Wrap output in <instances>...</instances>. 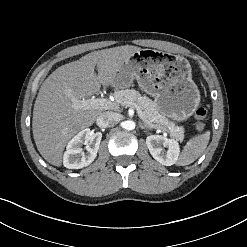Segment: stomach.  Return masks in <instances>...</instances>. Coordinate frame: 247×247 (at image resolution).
<instances>
[{
    "label": "stomach",
    "mask_w": 247,
    "mask_h": 247,
    "mask_svg": "<svg viewBox=\"0 0 247 247\" xmlns=\"http://www.w3.org/2000/svg\"><path fill=\"white\" fill-rule=\"evenodd\" d=\"M136 80L154 97L159 112L175 122L191 117L200 103L191 66L182 57L153 49L135 52L117 71L113 87L128 88Z\"/></svg>",
    "instance_id": "1"
}]
</instances>
